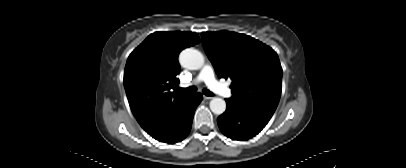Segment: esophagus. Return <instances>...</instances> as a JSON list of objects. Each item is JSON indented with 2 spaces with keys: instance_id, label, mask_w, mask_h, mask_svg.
<instances>
[{
  "instance_id": "1",
  "label": "esophagus",
  "mask_w": 406,
  "mask_h": 168,
  "mask_svg": "<svg viewBox=\"0 0 406 168\" xmlns=\"http://www.w3.org/2000/svg\"><path fill=\"white\" fill-rule=\"evenodd\" d=\"M203 98H204L205 100H210V99H212V97L206 96V95H204Z\"/></svg>"
}]
</instances>
